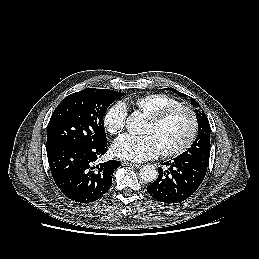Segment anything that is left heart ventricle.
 Instances as JSON below:
<instances>
[{
    "instance_id": "b2bd125f",
    "label": "left heart ventricle",
    "mask_w": 259,
    "mask_h": 259,
    "mask_svg": "<svg viewBox=\"0 0 259 259\" xmlns=\"http://www.w3.org/2000/svg\"><path fill=\"white\" fill-rule=\"evenodd\" d=\"M191 129V120L185 111H177L158 126L146 123L143 134L150 135L158 150H169L177 147L188 136Z\"/></svg>"
}]
</instances>
